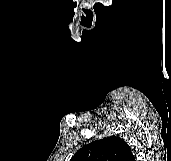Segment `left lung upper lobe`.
<instances>
[{
    "instance_id": "obj_1",
    "label": "left lung upper lobe",
    "mask_w": 171,
    "mask_h": 161,
    "mask_svg": "<svg viewBox=\"0 0 171 161\" xmlns=\"http://www.w3.org/2000/svg\"><path fill=\"white\" fill-rule=\"evenodd\" d=\"M130 146L120 137L110 136L79 149L70 161H134Z\"/></svg>"
}]
</instances>
